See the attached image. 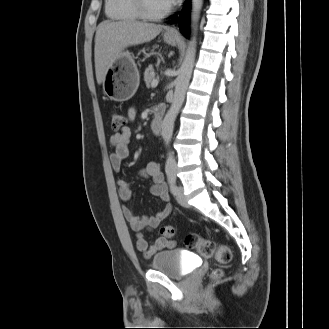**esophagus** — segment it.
<instances>
[{"mask_svg":"<svg viewBox=\"0 0 329 329\" xmlns=\"http://www.w3.org/2000/svg\"><path fill=\"white\" fill-rule=\"evenodd\" d=\"M167 35H172V36H176L177 35V30L175 27H171L166 31Z\"/></svg>","mask_w":329,"mask_h":329,"instance_id":"1","label":"esophagus"}]
</instances>
